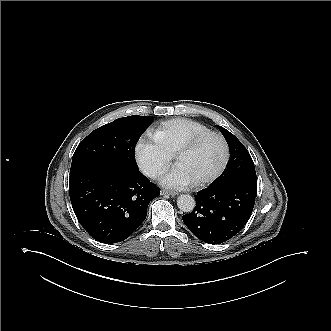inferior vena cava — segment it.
Listing matches in <instances>:
<instances>
[{
	"label": "inferior vena cava",
	"instance_id": "obj_1",
	"mask_svg": "<svg viewBox=\"0 0 331 331\" xmlns=\"http://www.w3.org/2000/svg\"><path fill=\"white\" fill-rule=\"evenodd\" d=\"M159 174H160V171L157 169H147L146 170V175H148L151 178H154Z\"/></svg>",
	"mask_w": 331,
	"mask_h": 331
}]
</instances>
